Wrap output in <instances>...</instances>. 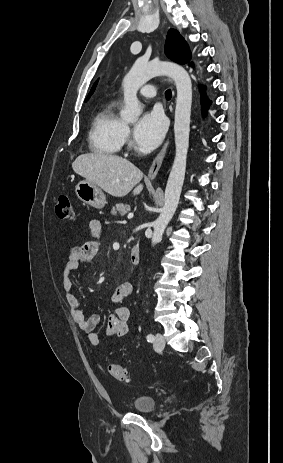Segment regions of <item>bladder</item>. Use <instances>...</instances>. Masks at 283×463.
Instances as JSON below:
<instances>
[{"instance_id":"31cf9c89","label":"bladder","mask_w":283,"mask_h":463,"mask_svg":"<svg viewBox=\"0 0 283 463\" xmlns=\"http://www.w3.org/2000/svg\"><path fill=\"white\" fill-rule=\"evenodd\" d=\"M133 410L139 414H151L157 408V401L151 396H138L131 403Z\"/></svg>"}]
</instances>
